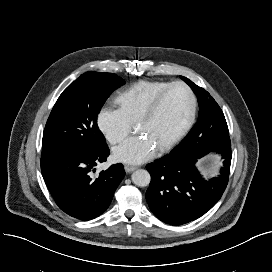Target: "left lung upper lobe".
<instances>
[{
	"label": "left lung upper lobe",
	"instance_id": "left-lung-upper-lobe-1",
	"mask_svg": "<svg viewBox=\"0 0 272 272\" xmlns=\"http://www.w3.org/2000/svg\"><path fill=\"white\" fill-rule=\"evenodd\" d=\"M181 78L193 89L199 103V119L187 137L178 145L190 148L223 149L231 146L222 110L210 94L191 80Z\"/></svg>",
	"mask_w": 272,
	"mask_h": 272
}]
</instances>
